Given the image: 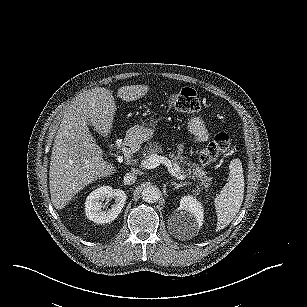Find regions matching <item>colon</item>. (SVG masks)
<instances>
[{"instance_id": "obj_1", "label": "colon", "mask_w": 307, "mask_h": 307, "mask_svg": "<svg viewBox=\"0 0 307 307\" xmlns=\"http://www.w3.org/2000/svg\"><path fill=\"white\" fill-rule=\"evenodd\" d=\"M169 105L178 111L196 113L200 110V99L191 88H181L173 92L168 99ZM233 140L227 133H219L214 139L204 146L199 153V159L203 164H210L219 157L230 153Z\"/></svg>"}]
</instances>
